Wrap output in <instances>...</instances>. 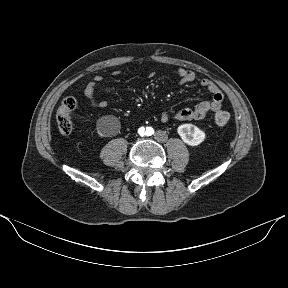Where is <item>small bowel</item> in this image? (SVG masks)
<instances>
[{"mask_svg": "<svg viewBox=\"0 0 288 288\" xmlns=\"http://www.w3.org/2000/svg\"><path fill=\"white\" fill-rule=\"evenodd\" d=\"M120 71H114L112 76H118ZM179 83L181 85L191 83L195 80V73L192 70L181 68L178 70ZM104 78L100 75L94 77L85 88L84 94L90 105L97 109L106 108L108 103L104 100H98L95 94L96 87L103 82ZM201 85L211 94V100H203L193 108H183L176 112H163L160 116L162 123L170 121H191L201 120L208 112H216L221 109L223 94L219 87L209 79L201 80Z\"/></svg>", "mask_w": 288, "mask_h": 288, "instance_id": "obj_1", "label": "small bowel"}]
</instances>
